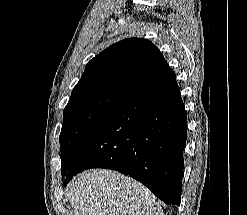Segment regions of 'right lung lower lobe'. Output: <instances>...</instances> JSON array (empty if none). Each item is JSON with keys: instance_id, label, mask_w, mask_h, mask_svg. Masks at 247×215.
Returning a JSON list of instances; mask_svg holds the SVG:
<instances>
[{"instance_id": "98d812e1", "label": "right lung lower lobe", "mask_w": 247, "mask_h": 215, "mask_svg": "<svg viewBox=\"0 0 247 215\" xmlns=\"http://www.w3.org/2000/svg\"><path fill=\"white\" fill-rule=\"evenodd\" d=\"M187 114L175 73L163 62L75 146L65 185L90 168L129 175L166 204L180 205Z\"/></svg>"}]
</instances>
